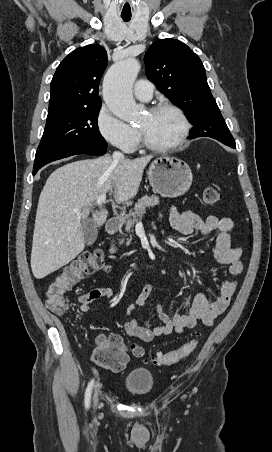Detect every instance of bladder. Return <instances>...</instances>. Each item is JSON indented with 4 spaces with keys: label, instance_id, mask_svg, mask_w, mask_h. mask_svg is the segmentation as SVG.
<instances>
[{
    "label": "bladder",
    "instance_id": "1",
    "mask_svg": "<svg viewBox=\"0 0 272 452\" xmlns=\"http://www.w3.org/2000/svg\"><path fill=\"white\" fill-rule=\"evenodd\" d=\"M124 386L127 391L135 396H146L153 390V375L148 369L132 368L125 377Z\"/></svg>",
    "mask_w": 272,
    "mask_h": 452
}]
</instances>
